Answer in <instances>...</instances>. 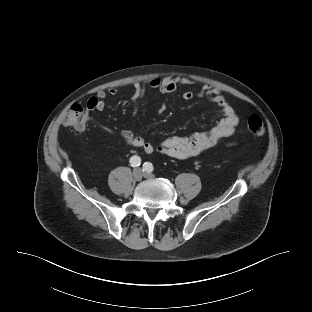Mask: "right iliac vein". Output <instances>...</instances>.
Listing matches in <instances>:
<instances>
[{"label":"right iliac vein","mask_w":312,"mask_h":312,"mask_svg":"<svg viewBox=\"0 0 312 312\" xmlns=\"http://www.w3.org/2000/svg\"><path fill=\"white\" fill-rule=\"evenodd\" d=\"M133 177H134V179L137 180V181L141 180L142 177H143V172H142V170H141V169H135V170L133 171Z\"/></svg>","instance_id":"1"}]
</instances>
